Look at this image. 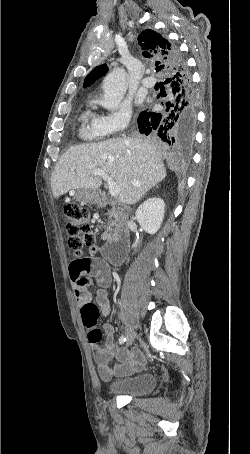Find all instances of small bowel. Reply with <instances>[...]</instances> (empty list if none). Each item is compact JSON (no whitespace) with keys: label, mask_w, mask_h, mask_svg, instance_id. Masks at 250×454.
Here are the masks:
<instances>
[{"label":"small bowel","mask_w":250,"mask_h":454,"mask_svg":"<svg viewBox=\"0 0 250 454\" xmlns=\"http://www.w3.org/2000/svg\"><path fill=\"white\" fill-rule=\"evenodd\" d=\"M68 275L72 283L76 301L80 307L92 303L89 283L94 279L100 289L97 291L96 303L102 316L110 313V302L106 288L110 285L112 275L109 265L98 257L75 258L68 266ZM106 336L105 344H94L93 358L97 365L99 377L109 381L115 376H125L136 372L145 364V357L139 349L126 350L114 343V327L103 325ZM116 359L115 363L112 360Z\"/></svg>","instance_id":"c3829d8e"}]
</instances>
